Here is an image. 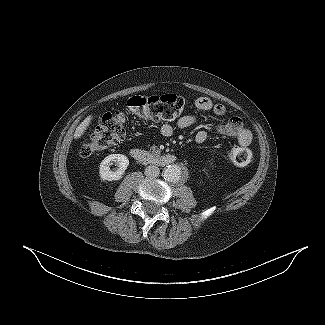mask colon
I'll return each instance as SVG.
<instances>
[{
  "label": "colon",
  "mask_w": 325,
  "mask_h": 325,
  "mask_svg": "<svg viewBox=\"0 0 325 325\" xmlns=\"http://www.w3.org/2000/svg\"><path fill=\"white\" fill-rule=\"evenodd\" d=\"M187 100L175 94L138 95L127 101V109L137 117L149 122H165L177 119L186 108ZM126 135V116L123 111L105 113L96 129L83 139L80 155L88 157L97 151L119 144ZM229 160L238 166H245L252 159L251 151L235 146L228 152Z\"/></svg>",
  "instance_id": "1"
}]
</instances>
